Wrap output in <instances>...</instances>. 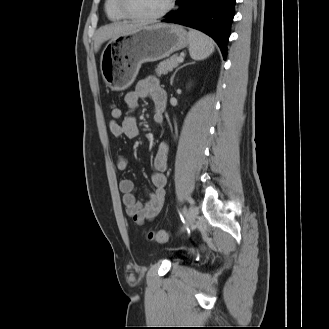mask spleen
Returning a JSON list of instances; mask_svg holds the SVG:
<instances>
[{"mask_svg":"<svg viewBox=\"0 0 329 329\" xmlns=\"http://www.w3.org/2000/svg\"><path fill=\"white\" fill-rule=\"evenodd\" d=\"M189 53L194 60H203L214 52V42L207 35L190 29L188 32Z\"/></svg>","mask_w":329,"mask_h":329,"instance_id":"spleen-1","label":"spleen"}]
</instances>
